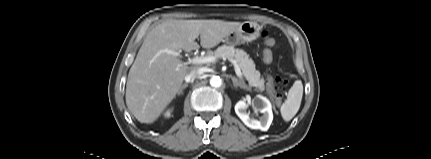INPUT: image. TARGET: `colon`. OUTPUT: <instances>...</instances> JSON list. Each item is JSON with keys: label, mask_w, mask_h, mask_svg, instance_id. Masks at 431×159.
<instances>
[{"label": "colon", "mask_w": 431, "mask_h": 159, "mask_svg": "<svg viewBox=\"0 0 431 159\" xmlns=\"http://www.w3.org/2000/svg\"><path fill=\"white\" fill-rule=\"evenodd\" d=\"M265 43H266V45H267L268 47H272V46H274V45H275V40H274L273 38H271V37H266V39H265ZM264 59H265V61H267V62L271 61V59H272V55H271L270 50H268V49H267V50L265 51ZM267 85H268V88H269V89L271 90V92L273 93L274 98H275L276 100H279V99L281 98V94H279L278 92H276V91H275V86H276V77L274 78V77H272V76H269V77H268V79H267Z\"/></svg>", "instance_id": "5ec220e1"}]
</instances>
